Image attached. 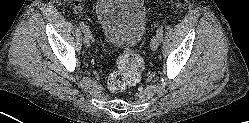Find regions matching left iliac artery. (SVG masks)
Segmentation results:
<instances>
[{
  "mask_svg": "<svg viewBox=\"0 0 249 123\" xmlns=\"http://www.w3.org/2000/svg\"><path fill=\"white\" fill-rule=\"evenodd\" d=\"M157 35L160 36V38L163 36V27H159L156 31Z\"/></svg>",
  "mask_w": 249,
  "mask_h": 123,
  "instance_id": "left-iliac-artery-1",
  "label": "left iliac artery"
}]
</instances>
